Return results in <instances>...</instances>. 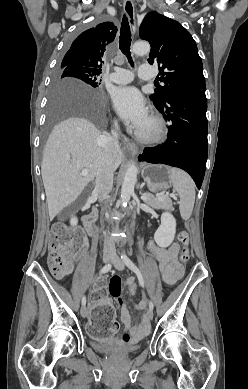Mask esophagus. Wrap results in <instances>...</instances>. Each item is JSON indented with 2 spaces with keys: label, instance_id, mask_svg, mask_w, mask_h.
Wrapping results in <instances>:
<instances>
[{
  "label": "esophagus",
  "instance_id": "obj_1",
  "mask_svg": "<svg viewBox=\"0 0 248 389\" xmlns=\"http://www.w3.org/2000/svg\"><path fill=\"white\" fill-rule=\"evenodd\" d=\"M123 7H124V11H125L128 19L130 21L132 31L135 32V22L136 21H135L134 4H133L132 0H124ZM127 147L133 156L138 154L139 148L135 143L128 141Z\"/></svg>",
  "mask_w": 248,
  "mask_h": 389
}]
</instances>
